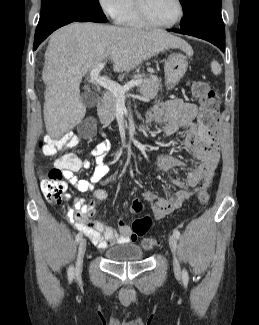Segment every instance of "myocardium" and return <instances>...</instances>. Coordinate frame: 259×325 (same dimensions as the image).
Returning <instances> with one entry per match:
<instances>
[{"mask_svg":"<svg viewBox=\"0 0 259 325\" xmlns=\"http://www.w3.org/2000/svg\"><path fill=\"white\" fill-rule=\"evenodd\" d=\"M175 2L178 7V14L175 17V19L168 24H158V23L153 22L147 15L142 0H136V7H137L138 15L144 25H146L150 28H154V29H171L174 26H176L182 20V18L184 16L183 2L181 0H175Z\"/></svg>","mask_w":259,"mask_h":325,"instance_id":"1","label":"myocardium"}]
</instances>
